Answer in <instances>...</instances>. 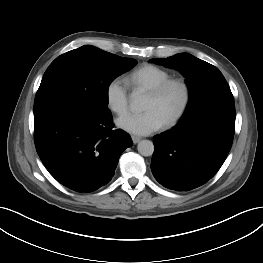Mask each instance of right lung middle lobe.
Listing matches in <instances>:
<instances>
[{
	"label": "right lung middle lobe",
	"mask_w": 263,
	"mask_h": 263,
	"mask_svg": "<svg viewBox=\"0 0 263 263\" xmlns=\"http://www.w3.org/2000/svg\"><path fill=\"white\" fill-rule=\"evenodd\" d=\"M136 63L133 58L119 57L91 45L71 50L57 57L44 73L34 113L70 105L99 115L108 114L110 83Z\"/></svg>",
	"instance_id": "dd1d6c3e"
}]
</instances>
